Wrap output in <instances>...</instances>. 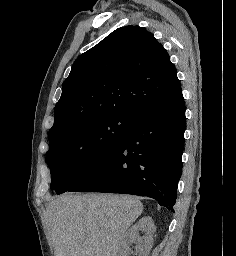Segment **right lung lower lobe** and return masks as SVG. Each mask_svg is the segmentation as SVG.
Listing matches in <instances>:
<instances>
[{"label": "right lung lower lobe", "mask_w": 236, "mask_h": 256, "mask_svg": "<svg viewBox=\"0 0 236 256\" xmlns=\"http://www.w3.org/2000/svg\"><path fill=\"white\" fill-rule=\"evenodd\" d=\"M185 126L180 88L145 110L120 144L67 191L143 195L174 211Z\"/></svg>", "instance_id": "98d812e1"}]
</instances>
